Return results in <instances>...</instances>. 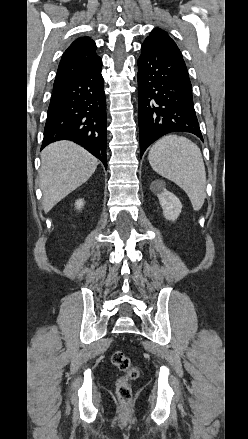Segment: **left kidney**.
Instances as JSON below:
<instances>
[{
    "label": "left kidney",
    "mask_w": 248,
    "mask_h": 439,
    "mask_svg": "<svg viewBox=\"0 0 248 439\" xmlns=\"http://www.w3.org/2000/svg\"><path fill=\"white\" fill-rule=\"evenodd\" d=\"M151 189L158 196L164 217L167 220L175 221L182 211L180 200L173 193L159 186L157 182L151 184Z\"/></svg>",
    "instance_id": "obj_1"
}]
</instances>
